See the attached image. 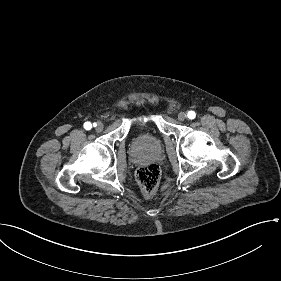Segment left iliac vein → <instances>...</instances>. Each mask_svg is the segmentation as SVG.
Instances as JSON below:
<instances>
[{
	"label": "left iliac vein",
	"instance_id": "4c4485c4",
	"mask_svg": "<svg viewBox=\"0 0 281 281\" xmlns=\"http://www.w3.org/2000/svg\"><path fill=\"white\" fill-rule=\"evenodd\" d=\"M187 118V114L185 112H180L178 114V120L179 121H184Z\"/></svg>",
	"mask_w": 281,
	"mask_h": 281
}]
</instances>
